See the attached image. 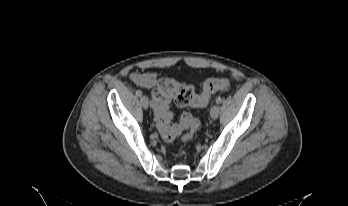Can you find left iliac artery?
<instances>
[{"mask_svg":"<svg viewBox=\"0 0 348 206\" xmlns=\"http://www.w3.org/2000/svg\"><path fill=\"white\" fill-rule=\"evenodd\" d=\"M221 102H222V98H221V97H217V98H216V103H217V104H220Z\"/></svg>","mask_w":348,"mask_h":206,"instance_id":"obj_1","label":"left iliac artery"}]
</instances>
